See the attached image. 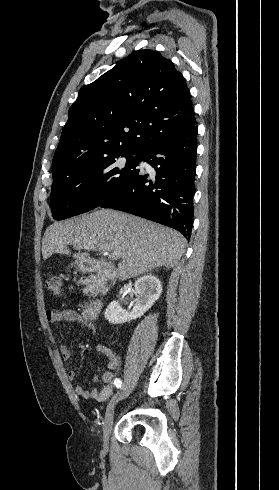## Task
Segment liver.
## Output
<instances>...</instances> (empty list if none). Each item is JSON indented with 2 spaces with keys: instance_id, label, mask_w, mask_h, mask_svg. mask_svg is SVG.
Returning a JSON list of instances; mask_svg holds the SVG:
<instances>
[{
  "instance_id": "1",
  "label": "liver",
  "mask_w": 279,
  "mask_h": 490,
  "mask_svg": "<svg viewBox=\"0 0 279 490\" xmlns=\"http://www.w3.org/2000/svg\"><path fill=\"white\" fill-rule=\"evenodd\" d=\"M67 246L79 250L73 254L78 270L91 262L88 252H111L120 260L118 280H129L147 274L153 268H174L186 246L182 234L160 224L142 220L115 210H94L80 218L55 222L47 228L42 240L43 260L52 254H71ZM85 250V252H80Z\"/></svg>"
}]
</instances>
